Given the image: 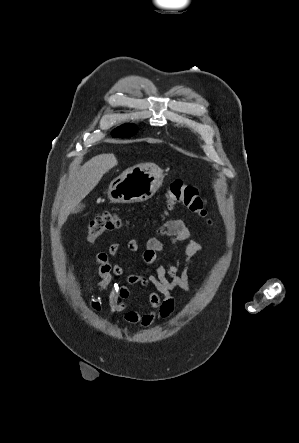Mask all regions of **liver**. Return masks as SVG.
<instances>
[{"label":"liver","instance_id":"6515ba94","mask_svg":"<svg viewBox=\"0 0 299 443\" xmlns=\"http://www.w3.org/2000/svg\"><path fill=\"white\" fill-rule=\"evenodd\" d=\"M118 161L114 154H100L87 161L78 171L63 201L58 217L61 228L69 214L99 183L105 173L116 166Z\"/></svg>","mask_w":299,"mask_h":443}]
</instances>
